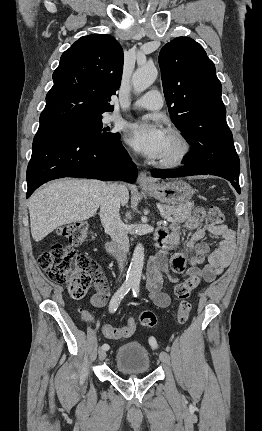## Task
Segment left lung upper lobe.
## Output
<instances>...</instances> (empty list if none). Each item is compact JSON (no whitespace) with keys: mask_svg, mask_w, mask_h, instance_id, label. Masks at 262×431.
<instances>
[{"mask_svg":"<svg viewBox=\"0 0 262 431\" xmlns=\"http://www.w3.org/2000/svg\"><path fill=\"white\" fill-rule=\"evenodd\" d=\"M159 65L171 120L191 146L184 163L215 174L227 173L225 162L239 165L222 86L205 50L191 38L178 37L163 46Z\"/></svg>","mask_w":262,"mask_h":431,"instance_id":"5c2ea615","label":"left lung upper lobe"}]
</instances>
